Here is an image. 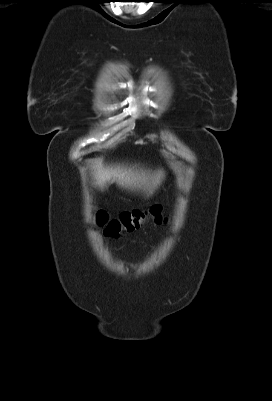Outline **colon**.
<instances>
[{
	"label": "colon",
	"instance_id": "obj_1",
	"mask_svg": "<svg viewBox=\"0 0 272 401\" xmlns=\"http://www.w3.org/2000/svg\"><path fill=\"white\" fill-rule=\"evenodd\" d=\"M150 219L160 221V207L154 206L149 210H129L120 213L115 218H110L103 211H99L96 215L97 223L104 228L105 235L111 238L119 237L124 233L134 232L143 227Z\"/></svg>",
	"mask_w": 272,
	"mask_h": 401
}]
</instances>
